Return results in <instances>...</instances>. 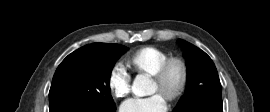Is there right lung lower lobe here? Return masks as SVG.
<instances>
[{"label":"right lung lower lobe","instance_id":"98d812e1","mask_svg":"<svg viewBox=\"0 0 270 112\" xmlns=\"http://www.w3.org/2000/svg\"><path fill=\"white\" fill-rule=\"evenodd\" d=\"M50 112H116V107L103 108L90 102H82L52 106Z\"/></svg>","mask_w":270,"mask_h":112}]
</instances>
